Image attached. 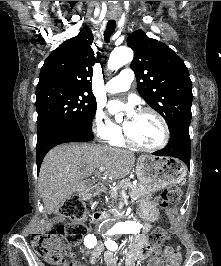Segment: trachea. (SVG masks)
Returning <instances> with one entry per match:
<instances>
[{
  "label": "trachea",
  "mask_w": 221,
  "mask_h": 266,
  "mask_svg": "<svg viewBox=\"0 0 221 266\" xmlns=\"http://www.w3.org/2000/svg\"><path fill=\"white\" fill-rule=\"evenodd\" d=\"M116 28V21L110 20L107 23L106 30L104 32V40L106 43H109L110 37L112 36L113 32L115 31Z\"/></svg>",
  "instance_id": "obj_1"
}]
</instances>
